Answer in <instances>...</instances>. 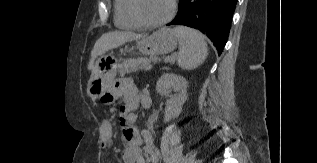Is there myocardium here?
Here are the masks:
<instances>
[{
	"instance_id": "1",
	"label": "myocardium",
	"mask_w": 317,
	"mask_h": 163,
	"mask_svg": "<svg viewBox=\"0 0 317 163\" xmlns=\"http://www.w3.org/2000/svg\"><path fill=\"white\" fill-rule=\"evenodd\" d=\"M129 10L134 18V20L141 26L145 28H159L168 24L175 16L177 11V0H171V9L168 15L160 21L150 22L145 20L140 14L138 3L139 0H129Z\"/></svg>"
}]
</instances>
